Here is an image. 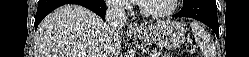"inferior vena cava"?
<instances>
[{
    "mask_svg": "<svg viewBox=\"0 0 249 57\" xmlns=\"http://www.w3.org/2000/svg\"><path fill=\"white\" fill-rule=\"evenodd\" d=\"M107 31L110 37H115L127 22L124 7L113 0L107 3L106 11Z\"/></svg>",
    "mask_w": 249,
    "mask_h": 57,
    "instance_id": "inferior-vena-cava-1",
    "label": "inferior vena cava"
}]
</instances>
